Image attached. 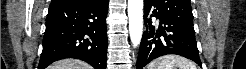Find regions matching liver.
<instances>
[{"instance_id":"obj_1","label":"liver","mask_w":246,"mask_h":69,"mask_svg":"<svg viewBox=\"0 0 246 69\" xmlns=\"http://www.w3.org/2000/svg\"><path fill=\"white\" fill-rule=\"evenodd\" d=\"M49 69H91L88 64L76 59H65L55 62Z\"/></svg>"}]
</instances>
